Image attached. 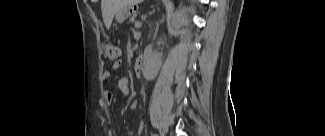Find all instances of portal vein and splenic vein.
<instances>
[{"instance_id":"portal-vein-and-splenic-vein-1","label":"portal vein and splenic vein","mask_w":325,"mask_h":136,"mask_svg":"<svg viewBox=\"0 0 325 136\" xmlns=\"http://www.w3.org/2000/svg\"><path fill=\"white\" fill-rule=\"evenodd\" d=\"M139 25H141V23L137 21V22L135 23V26H139Z\"/></svg>"}]
</instances>
